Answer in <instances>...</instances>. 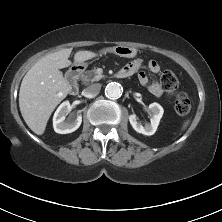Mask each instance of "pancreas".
<instances>
[{
  "label": "pancreas",
  "instance_id": "obj_1",
  "mask_svg": "<svg viewBox=\"0 0 222 222\" xmlns=\"http://www.w3.org/2000/svg\"><path fill=\"white\" fill-rule=\"evenodd\" d=\"M102 77H103L102 75H98L96 73V69H92L86 71L85 74L82 75L81 79L84 84H88L90 82L99 81L100 79H102Z\"/></svg>",
  "mask_w": 222,
  "mask_h": 222
}]
</instances>
